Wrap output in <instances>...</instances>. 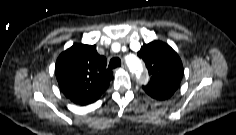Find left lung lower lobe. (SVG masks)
<instances>
[{
  "label": "left lung lower lobe",
  "mask_w": 236,
  "mask_h": 135,
  "mask_svg": "<svg viewBox=\"0 0 236 135\" xmlns=\"http://www.w3.org/2000/svg\"><path fill=\"white\" fill-rule=\"evenodd\" d=\"M170 96H160V97H157V98H155V99H159V100H163V99H167V98H169Z\"/></svg>",
  "instance_id": "1"
}]
</instances>
